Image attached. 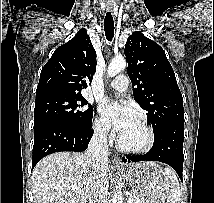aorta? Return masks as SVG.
Segmentation results:
<instances>
[{"mask_svg":"<svg viewBox=\"0 0 214 203\" xmlns=\"http://www.w3.org/2000/svg\"><path fill=\"white\" fill-rule=\"evenodd\" d=\"M126 60L122 56L115 57L108 66L107 74L109 77L116 76L119 72L126 68ZM112 203H122V193L118 189L115 191Z\"/></svg>","mask_w":214,"mask_h":203,"instance_id":"762f6f07","label":"aorta"}]
</instances>
